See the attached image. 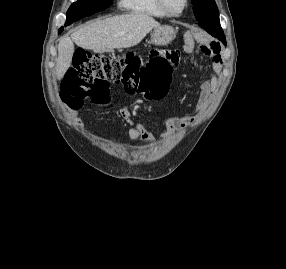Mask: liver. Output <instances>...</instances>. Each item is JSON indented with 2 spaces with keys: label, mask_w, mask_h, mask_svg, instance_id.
<instances>
[{
  "label": "liver",
  "mask_w": 286,
  "mask_h": 269,
  "mask_svg": "<svg viewBox=\"0 0 286 269\" xmlns=\"http://www.w3.org/2000/svg\"><path fill=\"white\" fill-rule=\"evenodd\" d=\"M160 24L147 14L131 13L103 20H95L64 37L58 44L56 76L61 80L69 69L74 54V43L80 47L102 53L115 48L137 45Z\"/></svg>",
  "instance_id": "1"
}]
</instances>
